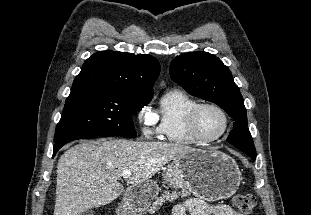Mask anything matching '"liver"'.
Returning <instances> with one entry per match:
<instances>
[{
	"label": "liver",
	"mask_w": 311,
	"mask_h": 215,
	"mask_svg": "<svg viewBox=\"0 0 311 215\" xmlns=\"http://www.w3.org/2000/svg\"><path fill=\"white\" fill-rule=\"evenodd\" d=\"M192 150L180 143L126 139L75 145L58 161L54 215H80L109 204L124 191L119 182L124 171L132 172L127 179L132 188Z\"/></svg>",
	"instance_id": "6515ba94"
}]
</instances>
